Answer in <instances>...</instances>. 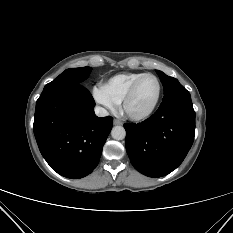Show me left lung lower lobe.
I'll return each mask as SVG.
<instances>
[{
    "mask_svg": "<svg viewBox=\"0 0 233 233\" xmlns=\"http://www.w3.org/2000/svg\"><path fill=\"white\" fill-rule=\"evenodd\" d=\"M126 149L134 168L162 177L184 160L194 141L195 112L189 92L164 98L158 110L139 124H124Z\"/></svg>",
    "mask_w": 233,
    "mask_h": 233,
    "instance_id": "1",
    "label": "left lung lower lobe"
}]
</instances>
